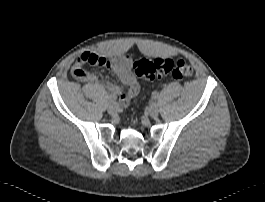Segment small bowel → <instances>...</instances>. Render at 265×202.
I'll return each mask as SVG.
<instances>
[{
	"label": "small bowel",
	"mask_w": 265,
	"mask_h": 202,
	"mask_svg": "<svg viewBox=\"0 0 265 202\" xmlns=\"http://www.w3.org/2000/svg\"><path fill=\"white\" fill-rule=\"evenodd\" d=\"M86 65L103 66L111 69L116 74L126 89L116 83H107L104 86L114 97H119L122 105H126L139 93L140 86L130 72L132 62L129 57L123 55L108 57L100 52L85 51L79 55L75 69ZM82 79L90 84H101L97 76L90 72H85Z\"/></svg>",
	"instance_id": "small-bowel-1"
}]
</instances>
